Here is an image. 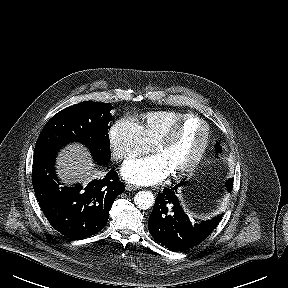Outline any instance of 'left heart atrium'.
I'll list each match as a JSON object with an SVG mask.
<instances>
[{"label": "left heart atrium", "mask_w": 288, "mask_h": 288, "mask_svg": "<svg viewBox=\"0 0 288 288\" xmlns=\"http://www.w3.org/2000/svg\"><path fill=\"white\" fill-rule=\"evenodd\" d=\"M169 171L159 155L126 161L122 167L123 178L137 185H153L169 176Z\"/></svg>", "instance_id": "1"}]
</instances>
